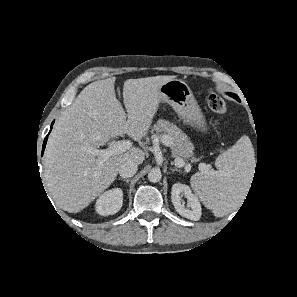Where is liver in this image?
Wrapping results in <instances>:
<instances>
[{"instance_id": "liver-1", "label": "liver", "mask_w": 297, "mask_h": 297, "mask_svg": "<svg viewBox=\"0 0 297 297\" xmlns=\"http://www.w3.org/2000/svg\"><path fill=\"white\" fill-rule=\"evenodd\" d=\"M173 78L126 80L127 116L115 95V77L95 81L81 91L56 122L44 155L46 187L57 206L69 213L83 210L113 183L124 162L144 161L145 152L138 147L102 164L91 151L124 134L138 141L144 138L159 107L158 89Z\"/></svg>"}]
</instances>
